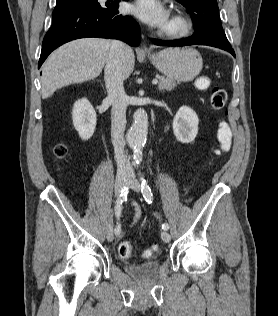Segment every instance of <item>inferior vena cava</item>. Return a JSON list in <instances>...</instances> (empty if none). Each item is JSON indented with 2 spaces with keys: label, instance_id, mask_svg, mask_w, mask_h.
I'll list each match as a JSON object with an SVG mask.
<instances>
[{
  "label": "inferior vena cava",
  "instance_id": "602c4592",
  "mask_svg": "<svg viewBox=\"0 0 278 316\" xmlns=\"http://www.w3.org/2000/svg\"><path fill=\"white\" fill-rule=\"evenodd\" d=\"M127 46L118 40L111 41L110 53L104 69L105 86L108 99L112 103L111 140L114 147L117 171L132 170L124 152V130L126 126L127 98L123 87L122 63Z\"/></svg>",
  "mask_w": 278,
  "mask_h": 316
}]
</instances>
